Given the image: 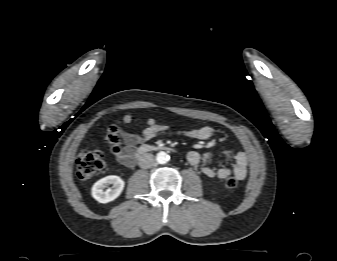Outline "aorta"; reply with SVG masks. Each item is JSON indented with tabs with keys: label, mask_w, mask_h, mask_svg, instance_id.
<instances>
[{
	"label": "aorta",
	"mask_w": 337,
	"mask_h": 261,
	"mask_svg": "<svg viewBox=\"0 0 337 261\" xmlns=\"http://www.w3.org/2000/svg\"><path fill=\"white\" fill-rule=\"evenodd\" d=\"M169 159H170L169 155L163 151L159 152L156 156V161L159 164H165L169 161Z\"/></svg>",
	"instance_id": "obj_1"
}]
</instances>
